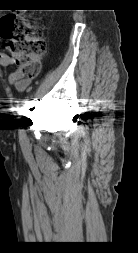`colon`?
<instances>
[{
    "instance_id": "5ec220e1",
    "label": "colon",
    "mask_w": 138,
    "mask_h": 253,
    "mask_svg": "<svg viewBox=\"0 0 138 253\" xmlns=\"http://www.w3.org/2000/svg\"><path fill=\"white\" fill-rule=\"evenodd\" d=\"M0 35L23 74L27 77L35 76L46 52L39 28L23 16L9 14L0 19Z\"/></svg>"
}]
</instances>
